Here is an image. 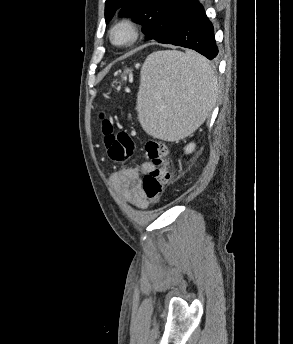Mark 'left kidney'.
<instances>
[{
  "instance_id": "left-kidney-1",
  "label": "left kidney",
  "mask_w": 293,
  "mask_h": 344,
  "mask_svg": "<svg viewBox=\"0 0 293 344\" xmlns=\"http://www.w3.org/2000/svg\"><path fill=\"white\" fill-rule=\"evenodd\" d=\"M195 147H196L195 143H190V144H188V145L184 148L185 153H186V154L192 153V152L195 150Z\"/></svg>"
}]
</instances>
